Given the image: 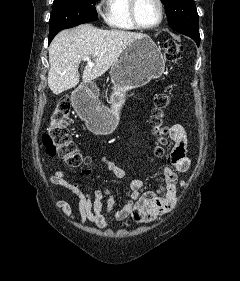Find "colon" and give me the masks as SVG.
Instances as JSON below:
<instances>
[{"mask_svg": "<svg viewBox=\"0 0 240 281\" xmlns=\"http://www.w3.org/2000/svg\"><path fill=\"white\" fill-rule=\"evenodd\" d=\"M164 51L167 60L174 63L181 58L182 46L177 41L167 40L164 45ZM171 95L172 89L168 87L164 92L156 96L154 102L152 124L160 144L164 142V135L167 133L163 118L165 110L170 104ZM70 111L69 99L67 97L62 98L52 113L49 128L43 134L42 142L49 156L59 157L68 166L73 168L88 166L92 162L91 158L80 152L70 135ZM162 154L163 148L158 145L154 150V155L161 156Z\"/></svg>", "mask_w": 240, "mask_h": 281, "instance_id": "obj_1", "label": "colon"}]
</instances>
